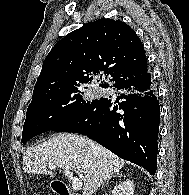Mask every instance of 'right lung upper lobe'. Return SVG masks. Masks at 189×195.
<instances>
[{
	"label": "right lung upper lobe",
	"instance_id": "cb5924a9",
	"mask_svg": "<svg viewBox=\"0 0 189 195\" xmlns=\"http://www.w3.org/2000/svg\"><path fill=\"white\" fill-rule=\"evenodd\" d=\"M146 66L143 45L130 26L114 19L96 20L69 33L52 48L43 62L32 101L90 83L100 72L101 79L105 75L114 82L133 77Z\"/></svg>",
	"mask_w": 189,
	"mask_h": 195
}]
</instances>
